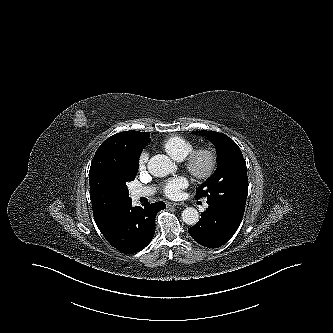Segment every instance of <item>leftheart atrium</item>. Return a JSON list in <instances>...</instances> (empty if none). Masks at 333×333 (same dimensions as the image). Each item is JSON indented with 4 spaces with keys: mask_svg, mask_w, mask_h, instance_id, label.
I'll return each instance as SVG.
<instances>
[{
    "mask_svg": "<svg viewBox=\"0 0 333 333\" xmlns=\"http://www.w3.org/2000/svg\"><path fill=\"white\" fill-rule=\"evenodd\" d=\"M188 186V180L184 176H179L168 180L164 185V193L168 197H177L180 191Z\"/></svg>",
    "mask_w": 333,
    "mask_h": 333,
    "instance_id": "39dd6f15",
    "label": "left heart atrium"
}]
</instances>
